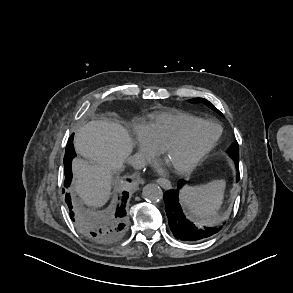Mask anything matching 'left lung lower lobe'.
<instances>
[{
	"instance_id": "0a47b994",
	"label": "left lung lower lobe",
	"mask_w": 293,
	"mask_h": 293,
	"mask_svg": "<svg viewBox=\"0 0 293 293\" xmlns=\"http://www.w3.org/2000/svg\"><path fill=\"white\" fill-rule=\"evenodd\" d=\"M237 168V182L239 181V161L235 162ZM185 181L178 182V188L170 190L164 194L166 204V213L170 229L176 239L183 241H196L212 236L219 231L218 228H206L203 230L197 229L195 225L189 222L180 207L178 202L179 189L184 185Z\"/></svg>"
}]
</instances>
